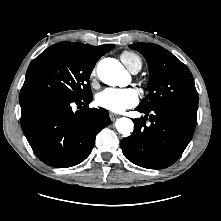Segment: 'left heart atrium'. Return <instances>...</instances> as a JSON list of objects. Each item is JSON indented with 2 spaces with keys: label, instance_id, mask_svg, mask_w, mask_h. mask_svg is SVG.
I'll list each match as a JSON object with an SVG mask.
<instances>
[{
  "label": "left heart atrium",
  "instance_id": "1",
  "mask_svg": "<svg viewBox=\"0 0 221 221\" xmlns=\"http://www.w3.org/2000/svg\"><path fill=\"white\" fill-rule=\"evenodd\" d=\"M139 100L138 93L133 88H109L96 96V103L110 112L121 113L133 107Z\"/></svg>",
  "mask_w": 221,
  "mask_h": 221
}]
</instances>
